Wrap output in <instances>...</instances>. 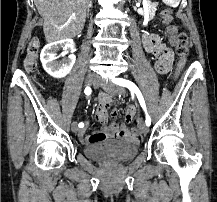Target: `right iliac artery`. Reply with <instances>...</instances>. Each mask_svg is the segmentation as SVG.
Returning <instances> with one entry per match:
<instances>
[{
  "label": "right iliac artery",
  "instance_id": "right-iliac-artery-1",
  "mask_svg": "<svg viewBox=\"0 0 217 202\" xmlns=\"http://www.w3.org/2000/svg\"><path fill=\"white\" fill-rule=\"evenodd\" d=\"M91 92H92V90H91V88L90 87H86L85 88V90H84V93L86 94V95H90L91 94ZM79 128H83L84 127V123L83 122H81V123H79Z\"/></svg>",
  "mask_w": 217,
  "mask_h": 202
}]
</instances>
